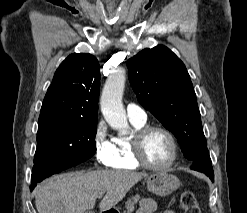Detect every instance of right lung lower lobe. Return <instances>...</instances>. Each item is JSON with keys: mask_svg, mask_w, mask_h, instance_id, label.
<instances>
[{"mask_svg": "<svg viewBox=\"0 0 247 213\" xmlns=\"http://www.w3.org/2000/svg\"><path fill=\"white\" fill-rule=\"evenodd\" d=\"M36 183H38V182H32V184L30 185V190L34 189V187L36 186Z\"/></svg>", "mask_w": 247, "mask_h": 213, "instance_id": "98d812e1", "label": "right lung lower lobe"}]
</instances>
